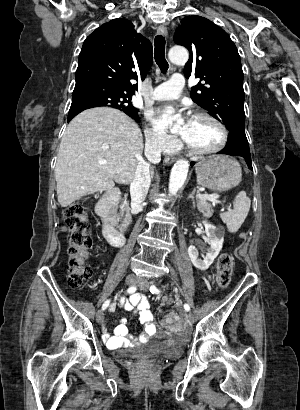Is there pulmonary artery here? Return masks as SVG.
Returning a JSON list of instances; mask_svg holds the SVG:
<instances>
[{
  "label": "pulmonary artery",
  "instance_id": "pulmonary-artery-1",
  "mask_svg": "<svg viewBox=\"0 0 300 410\" xmlns=\"http://www.w3.org/2000/svg\"><path fill=\"white\" fill-rule=\"evenodd\" d=\"M184 83L185 81L181 74H174L167 82L155 87L152 92V98L156 101L175 99L181 94Z\"/></svg>",
  "mask_w": 300,
  "mask_h": 410
}]
</instances>
